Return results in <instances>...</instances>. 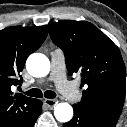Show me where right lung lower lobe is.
Segmentation results:
<instances>
[{
	"mask_svg": "<svg viewBox=\"0 0 127 127\" xmlns=\"http://www.w3.org/2000/svg\"><path fill=\"white\" fill-rule=\"evenodd\" d=\"M37 112H36V115L35 117L33 118V120L29 123V125L27 127H34V123L36 121V119L38 118V116L40 115L41 113V110H42V102L40 100L37 99Z\"/></svg>",
	"mask_w": 127,
	"mask_h": 127,
	"instance_id": "right-lung-lower-lobe-1",
	"label": "right lung lower lobe"
}]
</instances>
